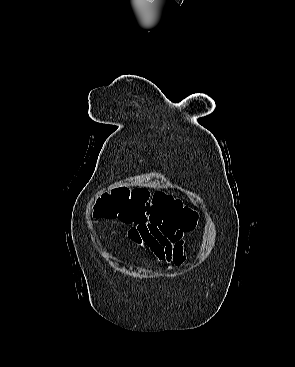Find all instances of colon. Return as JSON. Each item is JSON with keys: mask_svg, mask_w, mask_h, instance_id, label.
Returning <instances> with one entry per match:
<instances>
[{"mask_svg": "<svg viewBox=\"0 0 295 367\" xmlns=\"http://www.w3.org/2000/svg\"><path fill=\"white\" fill-rule=\"evenodd\" d=\"M103 218H119L125 223H156L169 221L183 230H192L197 223V214L172 196L156 193L150 197L142 188H115L106 194L97 208Z\"/></svg>", "mask_w": 295, "mask_h": 367, "instance_id": "obj_1", "label": "colon"}]
</instances>
